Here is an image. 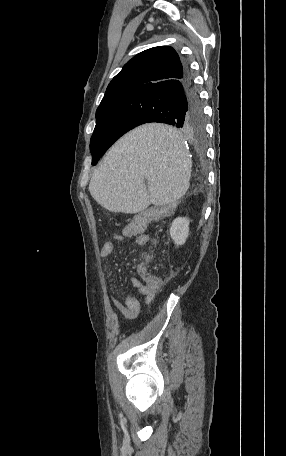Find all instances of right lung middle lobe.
<instances>
[{
  "label": "right lung middle lobe",
  "mask_w": 286,
  "mask_h": 456,
  "mask_svg": "<svg viewBox=\"0 0 286 456\" xmlns=\"http://www.w3.org/2000/svg\"><path fill=\"white\" fill-rule=\"evenodd\" d=\"M138 107L130 96L119 98L98 107L96 126L90 141L92 165L123 134L138 126ZM203 134V123L194 131Z\"/></svg>",
  "instance_id": "obj_1"
}]
</instances>
